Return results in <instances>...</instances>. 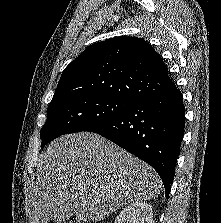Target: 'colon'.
Instances as JSON below:
<instances>
[{
	"label": "colon",
	"instance_id": "obj_1",
	"mask_svg": "<svg viewBox=\"0 0 221 223\" xmlns=\"http://www.w3.org/2000/svg\"><path fill=\"white\" fill-rule=\"evenodd\" d=\"M57 223H74V222L71 221V220H63V221H61V222H57Z\"/></svg>",
	"mask_w": 221,
	"mask_h": 223
}]
</instances>
